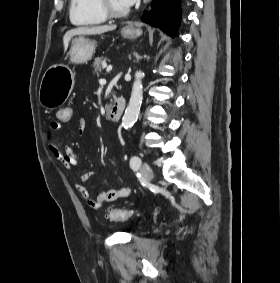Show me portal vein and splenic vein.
Wrapping results in <instances>:
<instances>
[{
    "label": "portal vein and splenic vein",
    "mask_w": 280,
    "mask_h": 283,
    "mask_svg": "<svg viewBox=\"0 0 280 283\" xmlns=\"http://www.w3.org/2000/svg\"><path fill=\"white\" fill-rule=\"evenodd\" d=\"M111 70H112V66L109 65V66L106 68V71L109 72V71H111ZM100 82H101V83H105L106 80H105V79H101Z\"/></svg>",
    "instance_id": "18ae733b"
}]
</instances>
